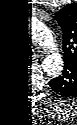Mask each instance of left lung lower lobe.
I'll return each mask as SVG.
<instances>
[{
  "instance_id": "left-lung-lower-lobe-1",
  "label": "left lung lower lobe",
  "mask_w": 77,
  "mask_h": 125,
  "mask_svg": "<svg viewBox=\"0 0 77 125\" xmlns=\"http://www.w3.org/2000/svg\"><path fill=\"white\" fill-rule=\"evenodd\" d=\"M56 80L50 81V86L54 88L55 90H59V85L55 82Z\"/></svg>"
}]
</instances>
